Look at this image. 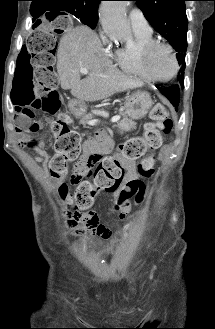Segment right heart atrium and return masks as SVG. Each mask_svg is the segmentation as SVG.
Returning <instances> with one entry per match:
<instances>
[{"mask_svg":"<svg viewBox=\"0 0 215 329\" xmlns=\"http://www.w3.org/2000/svg\"><path fill=\"white\" fill-rule=\"evenodd\" d=\"M101 39H102V42L104 44H108L109 43V39L107 38V36L104 33H101Z\"/></svg>","mask_w":215,"mask_h":329,"instance_id":"right-heart-atrium-1","label":"right heart atrium"}]
</instances>
